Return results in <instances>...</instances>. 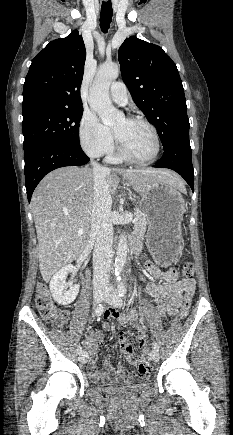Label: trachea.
Here are the masks:
<instances>
[{"label": "trachea", "mask_w": 233, "mask_h": 435, "mask_svg": "<svg viewBox=\"0 0 233 435\" xmlns=\"http://www.w3.org/2000/svg\"><path fill=\"white\" fill-rule=\"evenodd\" d=\"M113 10L111 1H103L100 13V28L103 33H107L112 22Z\"/></svg>", "instance_id": "1"}]
</instances>
